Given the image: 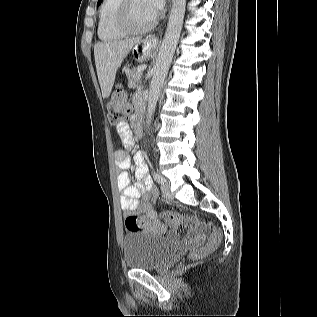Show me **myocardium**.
Here are the masks:
<instances>
[{"instance_id":"1","label":"myocardium","mask_w":317,"mask_h":317,"mask_svg":"<svg viewBox=\"0 0 317 317\" xmlns=\"http://www.w3.org/2000/svg\"><path fill=\"white\" fill-rule=\"evenodd\" d=\"M132 0H120L115 14L116 27L125 34L138 35L151 31L157 24V17H155L149 24L136 27L131 23L130 9Z\"/></svg>"}]
</instances>
